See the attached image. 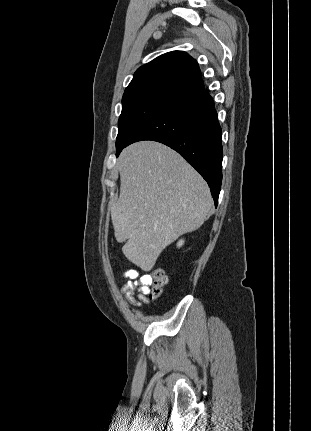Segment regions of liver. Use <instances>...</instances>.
<instances>
[{"instance_id": "6515ba94", "label": "liver", "mask_w": 311, "mask_h": 431, "mask_svg": "<svg viewBox=\"0 0 311 431\" xmlns=\"http://www.w3.org/2000/svg\"><path fill=\"white\" fill-rule=\"evenodd\" d=\"M117 166L121 186L111 208L114 235L126 241L127 259L150 271L167 245L208 219L210 190L180 154L158 142L128 146Z\"/></svg>"}]
</instances>
